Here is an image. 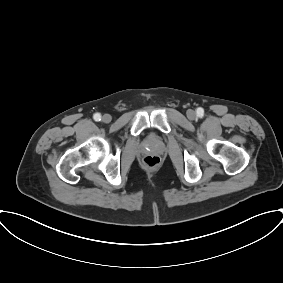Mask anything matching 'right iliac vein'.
I'll list each match as a JSON object with an SVG mask.
<instances>
[{"mask_svg":"<svg viewBox=\"0 0 283 283\" xmlns=\"http://www.w3.org/2000/svg\"><path fill=\"white\" fill-rule=\"evenodd\" d=\"M111 119H112V117H111V115H109V114H104V115L102 116V121H103L104 123H109V122L111 121Z\"/></svg>","mask_w":283,"mask_h":283,"instance_id":"1","label":"right iliac vein"}]
</instances>
